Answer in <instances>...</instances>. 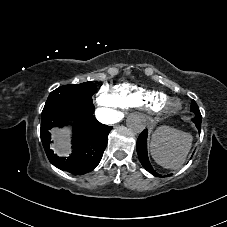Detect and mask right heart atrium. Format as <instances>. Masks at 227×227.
<instances>
[{
  "instance_id": "obj_1",
  "label": "right heart atrium",
  "mask_w": 227,
  "mask_h": 227,
  "mask_svg": "<svg viewBox=\"0 0 227 227\" xmlns=\"http://www.w3.org/2000/svg\"><path fill=\"white\" fill-rule=\"evenodd\" d=\"M97 105L108 111H115L120 108L118 102L107 86H103L96 96Z\"/></svg>"
}]
</instances>
